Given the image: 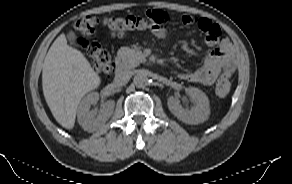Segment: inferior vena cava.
<instances>
[{"instance_id":"602c4592","label":"inferior vena cava","mask_w":292,"mask_h":184,"mask_svg":"<svg viewBox=\"0 0 292 184\" xmlns=\"http://www.w3.org/2000/svg\"><path fill=\"white\" fill-rule=\"evenodd\" d=\"M131 78V72L128 70L117 71L115 74L114 82L118 86L125 85Z\"/></svg>"}]
</instances>
